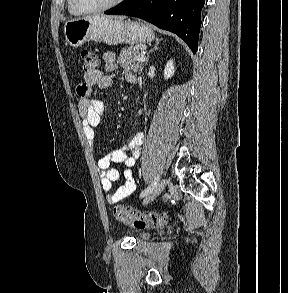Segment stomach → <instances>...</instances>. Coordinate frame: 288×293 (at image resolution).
Returning <instances> with one entry per match:
<instances>
[{
    "label": "stomach",
    "mask_w": 288,
    "mask_h": 293,
    "mask_svg": "<svg viewBox=\"0 0 288 293\" xmlns=\"http://www.w3.org/2000/svg\"><path fill=\"white\" fill-rule=\"evenodd\" d=\"M64 35L66 43L74 48L90 40L102 41L109 45L120 43L134 45L151 42L154 39V32L147 25L102 15L66 21Z\"/></svg>",
    "instance_id": "0dacf381"
}]
</instances>
